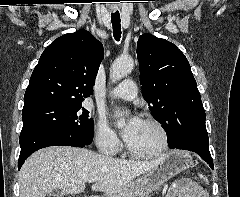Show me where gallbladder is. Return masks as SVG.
Segmentation results:
<instances>
[{"label": "gallbladder", "instance_id": "1", "mask_svg": "<svg viewBox=\"0 0 240 197\" xmlns=\"http://www.w3.org/2000/svg\"><path fill=\"white\" fill-rule=\"evenodd\" d=\"M48 197H64V194L60 190H52L48 193Z\"/></svg>", "mask_w": 240, "mask_h": 197}]
</instances>
